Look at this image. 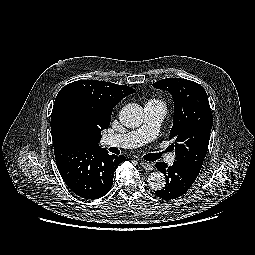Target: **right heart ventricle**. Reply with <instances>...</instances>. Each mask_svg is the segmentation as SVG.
Masks as SVG:
<instances>
[{
    "label": "right heart ventricle",
    "instance_id": "1",
    "mask_svg": "<svg viewBox=\"0 0 255 255\" xmlns=\"http://www.w3.org/2000/svg\"><path fill=\"white\" fill-rule=\"evenodd\" d=\"M150 102H159V103H161V101H160V100H157V99H156V100H155V99H154V100H151Z\"/></svg>",
    "mask_w": 255,
    "mask_h": 255
}]
</instances>
